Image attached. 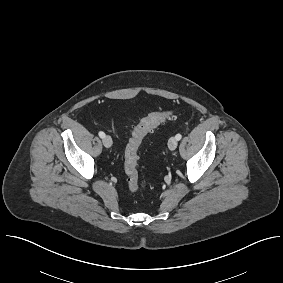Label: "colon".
Returning a JSON list of instances; mask_svg holds the SVG:
<instances>
[{"instance_id":"5ec220e1","label":"colon","mask_w":283,"mask_h":283,"mask_svg":"<svg viewBox=\"0 0 283 283\" xmlns=\"http://www.w3.org/2000/svg\"><path fill=\"white\" fill-rule=\"evenodd\" d=\"M171 116L172 112L168 110L155 111L142 118L133 128L124 153V170L130 191L136 192L147 186V181L140 180L138 173L139 148L144 138Z\"/></svg>"}]
</instances>
